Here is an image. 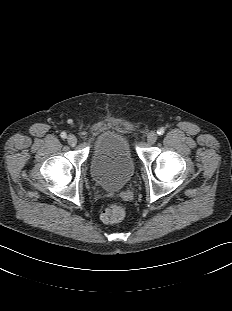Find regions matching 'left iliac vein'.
Segmentation results:
<instances>
[{"label":"left iliac vein","mask_w":232,"mask_h":311,"mask_svg":"<svg viewBox=\"0 0 232 311\" xmlns=\"http://www.w3.org/2000/svg\"><path fill=\"white\" fill-rule=\"evenodd\" d=\"M157 140V134L156 132H150L148 135H147V142L152 145L156 142Z\"/></svg>","instance_id":"obj_1"}]
</instances>
